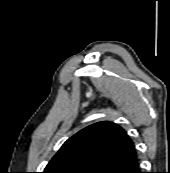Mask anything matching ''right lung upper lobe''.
Wrapping results in <instances>:
<instances>
[{"instance_id": "1", "label": "right lung upper lobe", "mask_w": 170, "mask_h": 173, "mask_svg": "<svg viewBox=\"0 0 170 173\" xmlns=\"http://www.w3.org/2000/svg\"><path fill=\"white\" fill-rule=\"evenodd\" d=\"M136 156L134 143L117 124H92L69 138L48 163L43 173L80 171L103 173L111 166Z\"/></svg>"}]
</instances>
